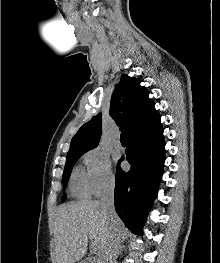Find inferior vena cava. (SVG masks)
Wrapping results in <instances>:
<instances>
[{"mask_svg":"<svg viewBox=\"0 0 220 263\" xmlns=\"http://www.w3.org/2000/svg\"><path fill=\"white\" fill-rule=\"evenodd\" d=\"M114 191L115 181L109 180L102 189L100 196V204L102 209L110 221V235L107 246V251L104 255V263H116L117 254L121 244V231L115 225V220L118 217L114 208Z\"/></svg>","mask_w":220,"mask_h":263,"instance_id":"602c4592","label":"inferior vena cava"}]
</instances>
